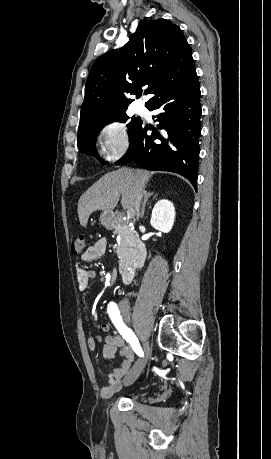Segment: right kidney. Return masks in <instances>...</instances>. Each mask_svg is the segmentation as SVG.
<instances>
[{
    "label": "right kidney",
    "mask_w": 271,
    "mask_h": 459,
    "mask_svg": "<svg viewBox=\"0 0 271 459\" xmlns=\"http://www.w3.org/2000/svg\"><path fill=\"white\" fill-rule=\"evenodd\" d=\"M175 222V208L169 200H159L152 210L151 226L168 233Z\"/></svg>",
    "instance_id": "right-kidney-1"
}]
</instances>
